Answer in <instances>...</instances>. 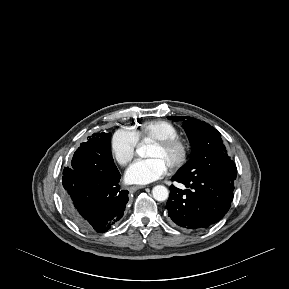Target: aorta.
Here are the masks:
<instances>
[{"instance_id": "762f6f07", "label": "aorta", "mask_w": 289, "mask_h": 289, "mask_svg": "<svg viewBox=\"0 0 289 289\" xmlns=\"http://www.w3.org/2000/svg\"><path fill=\"white\" fill-rule=\"evenodd\" d=\"M137 153L140 156H143L144 155V148L140 147L139 149H137ZM152 195H153V198L157 201H165L169 196V191L165 186L157 185V186L153 187Z\"/></svg>"}]
</instances>
